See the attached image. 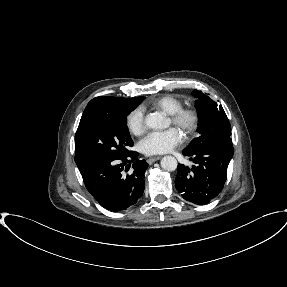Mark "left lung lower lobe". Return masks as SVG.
I'll return each mask as SVG.
<instances>
[{
  "label": "left lung lower lobe",
  "mask_w": 287,
  "mask_h": 287,
  "mask_svg": "<svg viewBox=\"0 0 287 287\" xmlns=\"http://www.w3.org/2000/svg\"><path fill=\"white\" fill-rule=\"evenodd\" d=\"M234 154L231 138L183 155L195 163L192 168L178 164L175 186L182 197L195 204H207L223 189L227 167Z\"/></svg>",
  "instance_id": "obj_1"
}]
</instances>
